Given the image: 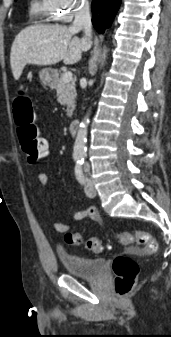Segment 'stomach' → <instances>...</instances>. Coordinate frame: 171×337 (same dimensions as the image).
<instances>
[{"label":"stomach","mask_w":171,"mask_h":337,"mask_svg":"<svg viewBox=\"0 0 171 337\" xmlns=\"http://www.w3.org/2000/svg\"><path fill=\"white\" fill-rule=\"evenodd\" d=\"M40 79L44 84L53 85L57 80V72L52 68H44L39 73Z\"/></svg>","instance_id":"1"}]
</instances>
